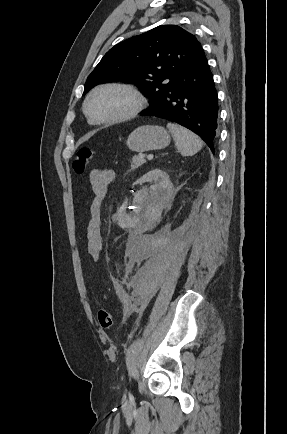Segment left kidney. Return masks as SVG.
<instances>
[{"label":"left kidney","instance_id":"left-kidney-1","mask_svg":"<svg viewBox=\"0 0 287 434\" xmlns=\"http://www.w3.org/2000/svg\"><path fill=\"white\" fill-rule=\"evenodd\" d=\"M141 182H153L147 190H141L134 196L136 205L133 212L127 214V206L123 205L119 209V224L123 227L136 226L149 211L164 207L170 201L173 195V184L169 175L160 169H155L145 174Z\"/></svg>","mask_w":287,"mask_h":434}]
</instances>
